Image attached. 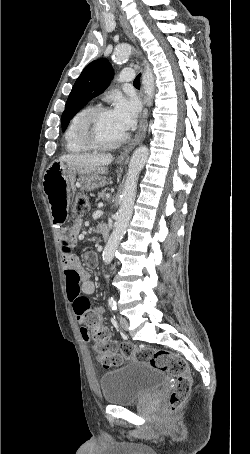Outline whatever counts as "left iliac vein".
<instances>
[{"mask_svg":"<svg viewBox=\"0 0 250 454\" xmlns=\"http://www.w3.org/2000/svg\"><path fill=\"white\" fill-rule=\"evenodd\" d=\"M120 325L125 331L129 328V322L125 317H120Z\"/></svg>","mask_w":250,"mask_h":454,"instance_id":"obj_1","label":"left iliac vein"}]
</instances>
